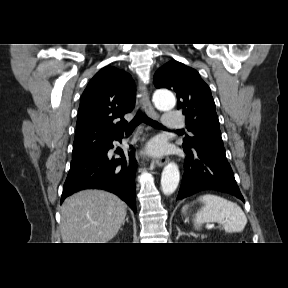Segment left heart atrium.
Segmentation results:
<instances>
[{"mask_svg":"<svg viewBox=\"0 0 288 288\" xmlns=\"http://www.w3.org/2000/svg\"><path fill=\"white\" fill-rule=\"evenodd\" d=\"M149 150L153 154H160L163 151V147H162L161 143L154 141L150 144Z\"/></svg>","mask_w":288,"mask_h":288,"instance_id":"left-heart-atrium-1","label":"left heart atrium"}]
</instances>
